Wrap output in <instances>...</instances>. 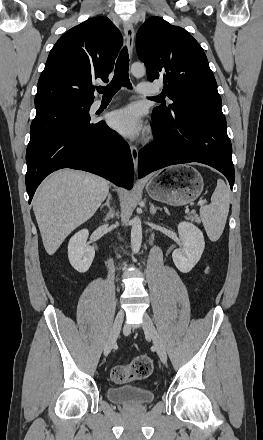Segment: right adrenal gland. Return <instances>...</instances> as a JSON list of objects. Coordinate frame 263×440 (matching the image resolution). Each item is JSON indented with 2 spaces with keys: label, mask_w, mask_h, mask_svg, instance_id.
I'll return each mask as SVG.
<instances>
[{
  "label": "right adrenal gland",
  "mask_w": 263,
  "mask_h": 440,
  "mask_svg": "<svg viewBox=\"0 0 263 440\" xmlns=\"http://www.w3.org/2000/svg\"><path fill=\"white\" fill-rule=\"evenodd\" d=\"M111 200H112V196L108 194L106 202L100 207V209H102L104 206H107L109 209L108 213L106 214V217L104 218L105 221H107V219H109V217H111L114 213V210L111 207Z\"/></svg>",
  "instance_id": "right-adrenal-gland-1"
}]
</instances>
